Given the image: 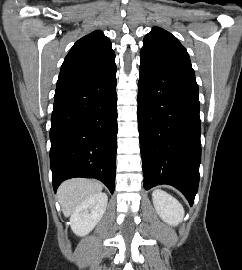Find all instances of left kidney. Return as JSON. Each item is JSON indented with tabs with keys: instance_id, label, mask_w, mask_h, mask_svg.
<instances>
[{
	"instance_id": "obj_1",
	"label": "left kidney",
	"mask_w": 242,
	"mask_h": 270,
	"mask_svg": "<svg viewBox=\"0 0 242 270\" xmlns=\"http://www.w3.org/2000/svg\"><path fill=\"white\" fill-rule=\"evenodd\" d=\"M152 200L157 214L163 221L170 225H177L182 222L184 209L174 197L156 189L152 193Z\"/></svg>"
}]
</instances>
